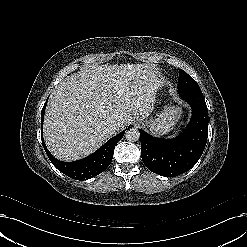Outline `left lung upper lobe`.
I'll return each mask as SVG.
<instances>
[{"label": "left lung upper lobe", "instance_id": "5c2ea615", "mask_svg": "<svg viewBox=\"0 0 247 247\" xmlns=\"http://www.w3.org/2000/svg\"><path fill=\"white\" fill-rule=\"evenodd\" d=\"M194 85H198L197 82L192 77H190L184 70H180L177 87L186 88Z\"/></svg>", "mask_w": 247, "mask_h": 247}]
</instances>
